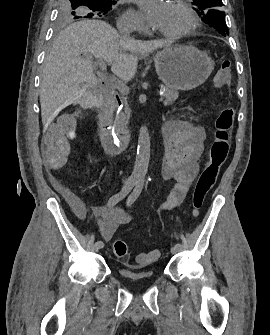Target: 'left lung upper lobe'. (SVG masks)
<instances>
[{"mask_svg":"<svg viewBox=\"0 0 270 335\" xmlns=\"http://www.w3.org/2000/svg\"><path fill=\"white\" fill-rule=\"evenodd\" d=\"M192 5L193 9L202 16V19L221 35L229 34L225 22V13L221 8L222 0H193Z\"/></svg>","mask_w":270,"mask_h":335,"instance_id":"1","label":"left lung upper lobe"}]
</instances>
